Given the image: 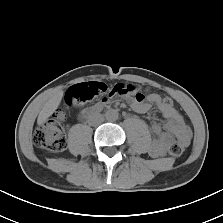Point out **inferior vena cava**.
Returning <instances> with one entry per match:
<instances>
[{
  "label": "inferior vena cava",
  "mask_w": 223,
  "mask_h": 223,
  "mask_svg": "<svg viewBox=\"0 0 223 223\" xmlns=\"http://www.w3.org/2000/svg\"><path fill=\"white\" fill-rule=\"evenodd\" d=\"M104 121V117L103 115H101L100 113H96L92 116L91 118V124L92 125H97V124H100L101 122Z\"/></svg>",
  "instance_id": "1"
}]
</instances>
